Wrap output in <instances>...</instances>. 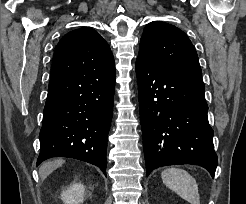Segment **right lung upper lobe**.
<instances>
[{
  "mask_svg": "<svg viewBox=\"0 0 246 204\" xmlns=\"http://www.w3.org/2000/svg\"><path fill=\"white\" fill-rule=\"evenodd\" d=\"M111 68L115 64L107 42L94 29L81 28L68 32L59 41L51 77Z\"/></svg>",
  "mask_w": 246,
  "mask_h": 204,
  "instance_id": "1",
  "label": "right lung upper lobe"
}]
</instances>
